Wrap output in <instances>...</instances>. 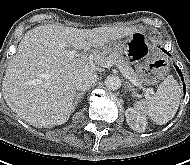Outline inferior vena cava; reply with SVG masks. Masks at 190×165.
I'll use <instances>...</instances> for the list:
<instances>
[{
    "instance_id": "1",
    "label": "inferior vena cava",
    "mask_w": 190,
    "mask_h": 165,
    "mask_svg": "<svg viewBox=\"0 0 190 165\" xmlns=\"http://www.w3.org/2000/svg\"><path fill=\"white\" fill-rule=\"evenodd\" d=\"M98 75L94 71H85L77 76L75 86L78 91L89 90L97 81Z\"/></svg>"
}]
</instances>
